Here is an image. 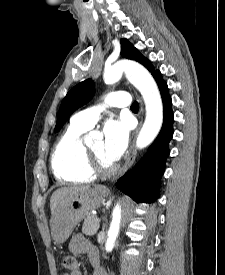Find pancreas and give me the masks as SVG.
<instances>
[{
    "label": "pancreas",
    "mask_w": 225,
    "mask_h": 275,
    "mask_svg": "<svg viewBox=\"0 0 225 275\" xmlns=\"http://www.w3.org/2000/svg\"><path fill=\"white\" fill-rule=\"evenodd\" d=\"M96 215L89 214L83 223L82 232L86 235L92 236L97 233L99 229V223L96 222Z\"/></svg>",
    "instance_id": "obj_1"
}]
</instances>
